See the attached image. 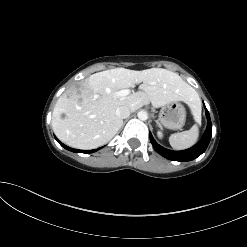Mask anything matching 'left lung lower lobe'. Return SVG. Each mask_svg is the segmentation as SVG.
Listing matches in <instances>:
<instances>
[{"label":"left lung lower lobe","mask_w":247,"mask_h":247,"mask_svg":"<svg viewBox=\"0 0 247 247\" xmlns=\"http://www.w3.org/2000/svg\"><path fill=\"white\" fill-rule=\"evenodd\" d=\"M206 116L208 120L207 128L205 133L203 134L201 140L194 145L193 147L187 149V150H182V151H171L168 150L159 144L154 140L152 134L150 133V141L154 147V149L163 157L173 160V161H179V162H185V161H191L200 156L202 153L205 152L210 140H211V135H212V123L210 120V115L208 110L206 109Z\"/></svg>","instance_id":"1"}]
</instances>
